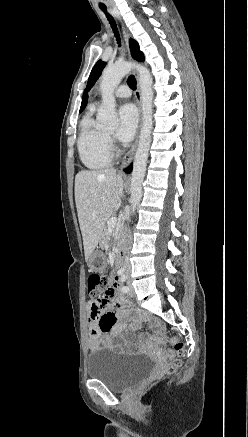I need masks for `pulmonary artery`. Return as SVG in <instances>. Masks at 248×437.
Returning a JSON list of instances; mask_svg holds the SVG:
<instances>
[{
    "mask_svg": "<svg viewBox=\"0 0 248 437\" xmlns=\"http://www.w3.org/2000/svg\"><path fill=\"white\" fill-rule=\"evenodd\" d=\"M114 95L118 98H128L131 95V90L127 85H120L114 91Z\"/></svg>",
    "mask_w": 248,
    "mask_h": 437,
    "instance_id": "1",
    "label": "pulmonary artery"
}]
</instances>
